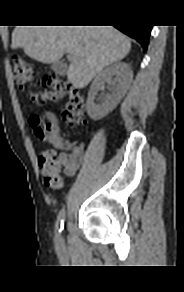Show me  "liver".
I'll list each match as a JSON object with an SVG mask.
<instances>
[{
    "mask_svg": "<svg viewBox=\"0 0 184 292\" xmlns=\"http://www.w3.org/2000/svg\"><path fill=\"white\" fill-rule=\"evenodd\" d=\"M41 63L59 62L73 55L68 81L83 88L104 67L123 59L131 49L129 39L113 26H16L12 48Z\"/></svg>",
    "mask_w": 184,
    "mask_h": 292,
    "instance_id": "1",
    "label": "liver"
}]
</instances>
